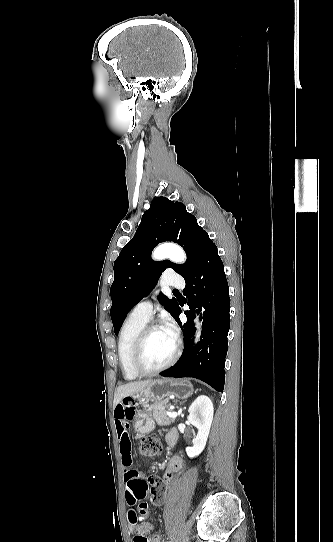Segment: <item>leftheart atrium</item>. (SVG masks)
Masks as SVG:
<instances>
[{
  "label": "left heart atrium",
  "mask_w": 333,
  "mask_h": 542,
  "mask_svg": "<svg viewBox=\"0 0 333 542\" xmlns=\"http://www.w3.org/2000/svg\"><path fill=\"white\" fill-rule=\"evenodd\" d=\"M169 337L176 341L179 335L178 328L170 317H166L161 328Z\"/></svg>",
  "instance_id": "obj_1"
}]
</instances>
